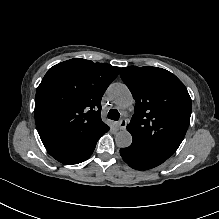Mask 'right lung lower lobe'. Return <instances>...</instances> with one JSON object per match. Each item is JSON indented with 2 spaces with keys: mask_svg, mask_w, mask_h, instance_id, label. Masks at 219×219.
Listing matches in <instances>:
<instances>
[{
  "mask_svg": "<svg viewBox=\"0 0 219 219\" xmlns=\"http://www.w3.org/2000/svg\"><path fill=\"white\" fill-rule=\"evenodd\" d=\"M110 128L106 126L93 140L89 142H70L44 145L48 153L57 161L63 164H78L87 160L93 153L98 139L108 132Z\"/></svg>",
  "mask_w": 219,
  "mask_h": 219,
  "instance_id": "98d812e1",
  "label": "right lung lower lobe"
}]
</instances>
